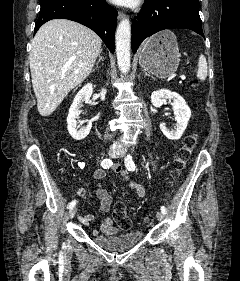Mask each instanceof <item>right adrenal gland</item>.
Here are the masks:
<instances>
[{"label":"right adrenal gland","instance_id":"right-adrenal-gland-1","mask_svg":"<svg viewBox=\"0 0 240 281\" xmlns=\"http://www.w3.org/2000/svg\"><path fill=\"white\" fill-rule=\"evenodd\" d=\"M101 53H102V49L100 50V52H99V59H98V61L96 62V68H98V64L101 62V61H103V57L101 56Z\"/></svg>","mask_w":240,"mask_h":281}]
</instances>
